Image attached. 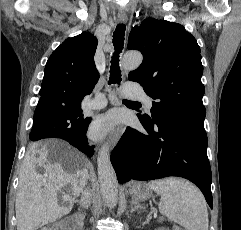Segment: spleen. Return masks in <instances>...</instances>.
<instances>
[{
  "label": "spleen",
  "mask_w": 241,
  "mask_h": 230,
  "mask_svg": "<svg viewBox=\"0 0 241 230\" xmlns=\"http://www.w3.org/2000/svg\"><path fill=\"white\" fill-rule=\"evenodd\" d=\"M160 195L159 211L186 230H208V212L202 193L183 179L167 178L148 183Z\"/></svg>",
  "instance_id": "spleen-1"
}]
</instances>
